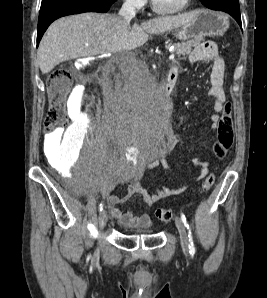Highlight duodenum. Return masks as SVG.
Wrapping results in <instances>:
<instances>
[{
	"label": "duodenum",
	"instance_id": "410a0bca",
	"mask_svg": "<svg viewBox=\"0 0 267 298\" xmlns=\"http://www.w3.org/2000/svg\"><path fill=\"white\" fill-rule=\"evenodd\" d=\"M177 69L173 66L169 69L168 75L166 80L163 82L162 86H164L163 93H166V97L169 95V93L172 91V89L175 86L176 80H177Z\"/></svg>",
	"mask_w": 267,
	"mask_h": 298
}]
</instances>
